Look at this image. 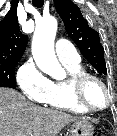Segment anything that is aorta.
I'll list each match as a JSON object with an SVG mask.
<instances>
[{
  "mask_svg": "<svg viewBox=\"0 0 117 136\" xmlns=\"http://www.w3.org/2000/svg\"><path fill=\"white\" fill-rule=\"evenodd\" d=\"M57 20L43 17L36 23L32 40V54L37 66L53 78H61L65 71L61 67L54 51V40L57 32Z\"/></svg>",
  "mask_w": 117,
  "mask_h": 136,
  "instance_id": "aorta-1",
  "label": "aorta"
}]
</instances>
